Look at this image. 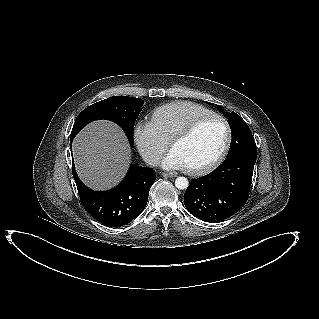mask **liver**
Masks as SVG:
<instances>
[{
	"label": "liver",
	"mask_w": 319,
	"mask_h": 319,
	"mask_svg": "<svg viewBox=\"0 0 319 319\" xmlns=\"http://www.w3.org/2000/svg\"><path fill=\"white\" fill-rule=\"evenodd\" d=\"M72 149L78 176L94 190L109 189L119 183L131 161L123 130L106 120L88 124L73 140Z\"/></svg>",
	"instance_id": "liver-1"
}]
</instances>
